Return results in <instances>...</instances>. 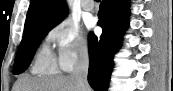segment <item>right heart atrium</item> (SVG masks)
Returning <instances> with one entry per match:
<instances>
[{
  "label": "right heart atrium",
  "mask_w": 173,
  "mask_h": 91,
  "mask_svg": "<svg viewBox=\"0 0 173 91\" xmlns=\"http://www.w3.org/2000/svg\"><path fill=\"white\" fill-rule=\"evenodd\" d=\"M47 40L56 49L59 67L69 72L87 57L89 43L84 32L71 20H63L53 26Z\"/></svg>",
  "instance_id": "obj_1"
}]
</instances>
